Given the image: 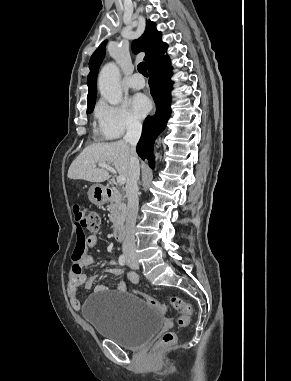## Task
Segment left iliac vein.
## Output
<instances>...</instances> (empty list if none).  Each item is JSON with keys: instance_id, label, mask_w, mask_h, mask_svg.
I'll list each match as a JSON object with an SVG mask.
<instances>
[{"instance_id": "4c4485c4", "label": "left iliac vein", "mask_w": 291, "mask_h": 381, "mask_svg": "<svg viewBox=\"0 0 291 381\" xmlns=\"http://www.w3.org/2000/svg\"><path fill=\"white\" fill-rule=\"evenodd\" d=\"M128 265L130 266V268L134 270H137L139 268V264L135 258L133 259L128 258Z\"/></svg>"}]
</instances>
